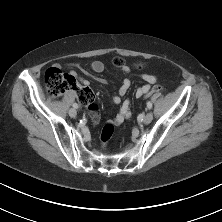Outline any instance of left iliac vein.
Listing matches in <instances>:
<instances>
[{
  "label": "left iliac vein",
  "instance_id": "obj_1",
  "mask_svg": "<svg viewBox=\"0 0 222 222\" xmlns=\"http://www.w3.org/2000/svg\"><path fill=\"white\" fill-rule=\"evenodd\" d=\"M153 119V114L151 112H148L145 117L143 118L144 124H149Z\"/></svg>",
  "mask_w": 222,
  "mask_h": 222
}]
</instances>
